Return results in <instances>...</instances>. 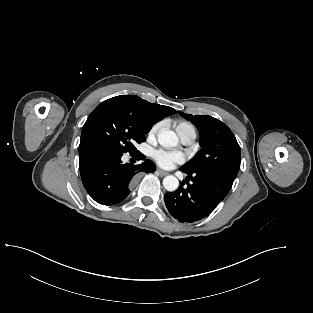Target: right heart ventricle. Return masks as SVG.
Instances as JSON below:
<instances>
[{
  "mask_svg": "<svg viewBox=\"0 0 313 313\" xmlns=\"http://www.w3.org/2000/svg\"><path fill=\"white\" fill-rule=\"evenodd\" d=\"M176 132L178 133L180 138L188 134L196 137V129L194 125L186 121H181L176 124Z\"/></svg>",
  "mask_w": 313,
  "mask_h": 313,
  "instance_id": "1",
  "label": "right heart ventricle"
}]
</instances>
